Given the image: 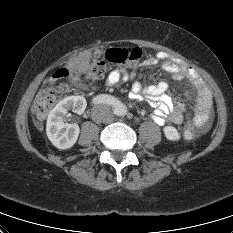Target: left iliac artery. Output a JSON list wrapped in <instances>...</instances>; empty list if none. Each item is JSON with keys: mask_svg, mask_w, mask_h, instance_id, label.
I'll use <instances>...</instances> for the list:
<instances>
[{"mask_svg": "<svg viewBox=\"0 0 233 233\" xmlns=\"http://www.w3.org/2000/svg\"><path fill=\"white\" fill-rule=\"evenodd\" d=\"M114 114L116 115H124L125 114V108L122 106V104L118 101L114 110H113Z\"/></svg>", "mask_w": 233, "mask_h": 233, "instance_id": "1", "label": "left iliac artery"}]
</instances>
